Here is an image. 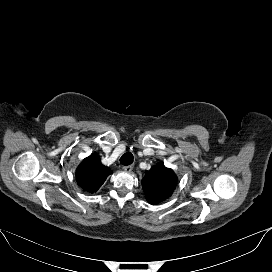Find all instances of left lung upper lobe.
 Listing matches in <instances>:
<instances>
[{"label":"left lung upper lobe","instance_id":"5c2ea615","mask_svg":"<svg viewBox=\"0 0 272 272\" xmlns=\"http://www.w3.org/2000/svg\"><path fill=\"white\" fill-rule=\"evenodd\" d=\"M177 184V177L172 169L162 164L152 167L146 172L142 186L146 199L151 204L164 201L172 195Z\"/></svg>","mask_w":272,"mask_h":272}]
</instances>
